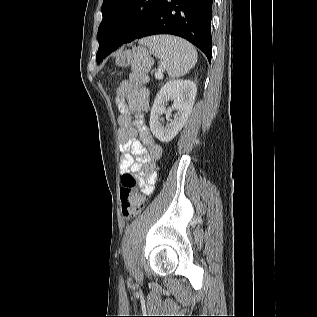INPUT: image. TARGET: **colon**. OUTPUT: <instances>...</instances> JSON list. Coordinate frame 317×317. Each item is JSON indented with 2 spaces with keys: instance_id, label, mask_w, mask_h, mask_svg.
<instances>
[{
  "instance_id": "5ec220e1",
  "label": "colon",
  "mask_w": 317,
  "mask_h": 317,
  "mask_svg": "<svg viewBox=\"0 0 317 317\" xmlns=\"http://www.w3.org/2000/svg\"><path fill=\"white\" fill-rule=\"evenodd\" d=\"M117 67H130V80L139 85L146 81V72L151 66L148 57L139 53H123L116 59ZM121 211L125 218L137 216L143 209L145 199L136 190V178L130 173H124L120 187Z\"/></svg>"
}]
</instances>
